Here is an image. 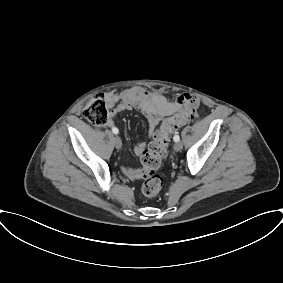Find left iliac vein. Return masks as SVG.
Returning <instances> with one entry per match:
<instances>
[{"label": "left iliac vein", "mask_w": 283, "mask_h": 283, "mask_svg": "<svg viewBox=\"0 0 283 283\" xmlns=\"http://www.w3.org/2000/svg\"><path fill=\"white\" fill-rule=\"evenodd\" d=\"M182 148H183V144H182L180 141H177V142L174 144V150H175V151H180Z\"/></svg>", "instance_id": "left-iliac-vein-1"}]
</instances>
